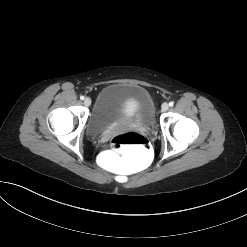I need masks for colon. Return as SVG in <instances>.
Masks as SVG:
<instances>
[{"label":"colon","mask_w":247,"mask_h":247,"mask_svg":"<svg viewBox=\"0 0 247 247\" xmlns=\"http://www.w3.org/2000/svg\"><path fill=\"white\" fill-rule=\"evenodd\" d=\"M154 156V148L145 136L128 131L114 136L111 146L101 150L98 160L105 170L132 174L149 166Z\"/></svg>","instance_id":"5ec220e1"}]
</instances>
